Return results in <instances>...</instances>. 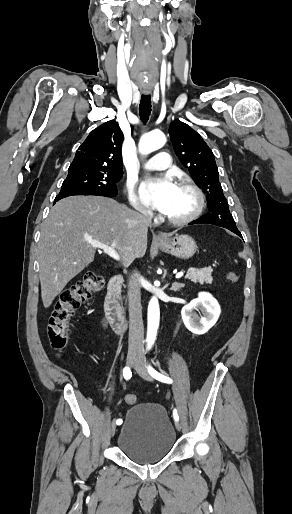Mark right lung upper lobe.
Returning <instances> with one entry per match:
<instances>
[{"label": "right lung upper lobe", "mask_w": 292, "mask_h": 514, "mask_svg": "<svg viewBox=\"0 0 292 514\" xmlns=\"http://www.w3.org/2000/svg\"><path fill=\"white\" fill-rule=\"evenodd\" d=\"M123 133L114 120L94 129L76 151L68 173H123Z\"/></svg>", "instance_id": "cb5924a9"}]
</instances>
